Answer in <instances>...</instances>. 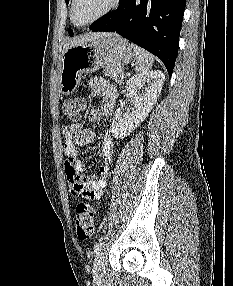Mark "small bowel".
Returning a JSON list of instances; mask_svg holds the SVG:
<instances>
[{
  "mask_svg": "<svg viewBox=\"0 0 233 286\" xmlns=\"http://www.w3.org/2000/svg\"><path fill=\"white\" fill-rule=\"evenodd\" d=\"M89 90L100 96V104L89 113V121L92 123L113 114L117 99L115 87L102 78H93L88 84ZM95 134L90 127L70 125L63 130V147L66 155L65 173L73 195L85 199H99L107 184V176L113 160V141L109 135H105L99 149L100 166L92 177L83 176L85 164L79 157V146L93 142Z\"/></svg>",
  "mask_w": 233,
  "mask_h": 286,
  "instance_id": "obj_1",
  "label": "small bowel"
}]
</instances>
